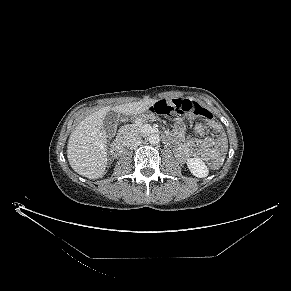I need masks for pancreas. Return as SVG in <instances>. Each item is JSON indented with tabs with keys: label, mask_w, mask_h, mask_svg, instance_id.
I'll list each match as a JSON object with an SVG mask.
<instances>
[{
	"label": "pancreas",
	"mask_w": 291,
	"mask_h": 291,
	"mask_svg": "<svg viewBox=\"0 0 291 291\" xmlns=\"http://www.w3.org/2000/svg\"><path fill=\"white\" fill-rule=\"evenodd\" d=\"M132 132H141V124L136 123L123 126L119 131V136H128Z\"/></svg>",
	"instance_id": "pancreas-1"
}]
</instances>
